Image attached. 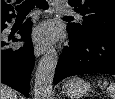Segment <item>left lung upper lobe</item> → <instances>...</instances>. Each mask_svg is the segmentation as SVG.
<instances>
[{"mask_svg": "<svg viewBox=\"0 0 115 99\" xmlns=\"http://www.w3.org/2000/svg\"><path fill=\"white\" fill-rule=\"evenodd\" d=\"M83 16V22L70 23L67 31L78 40L93 36L115 37V0H69Z\"/></svg>", "mask_w": 115, "mask_h": 99, "instance_id": "obj_1", "label": "left lung upper lobe"}]
</instances>
